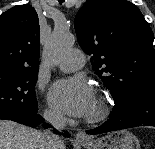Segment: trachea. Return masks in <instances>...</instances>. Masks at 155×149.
<instances>
[{"instance_id":"trachea-1","label":"trachea","mask_w":155,"mask_h":149,"mask_svg":"<svg viewBox=\"0 0 155 149\" xmlns=\"http://www.w3.org/2000/svg\"><path fill=\"white\" fill-rule=\"evenodd\" d=\"M59 2H60V3H63V2H64V0H59Z\"/></svg>"}]
</instances>
